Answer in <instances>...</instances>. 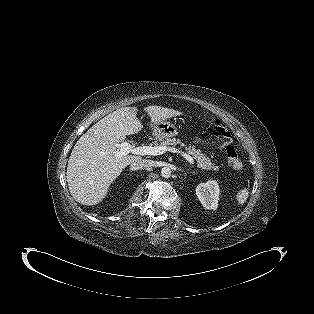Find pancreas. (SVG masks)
Returning <instances> with one entry per match:
<instances>
[{"mask_svg": "<svg viewBox=\"0 0 314 314\" xmlns=\"http://www.w3.org/2000/svg\"><path fill=\"white\" fill-rule=\"evenodd\" d=\"M180 145L181 147H184L186 152L190 154L197 162V167L201 168L203 170H218V166H215V163L211 161L209 157H207L206 154L202 153L200 149H197L195 146H192L191 144H185L180 142L179 140L175 138H166L162 140L161 145L169 147V146H176Z\"/></svg>", "mask_w": 314, "mask_h": 314, "instance_id": "cf45deb5", "label": "pancreas"}]
</instances>
